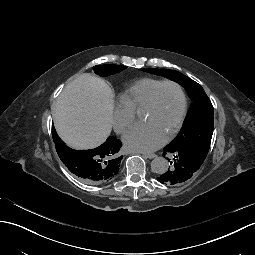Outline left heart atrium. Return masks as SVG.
<instances>
[{
	"label": "left heart atrium",
	"mask_w": 255,
	"mask_h": 255,
	"mask_svg": "<svg viewBox=\"0 0 255 255\" xmlns=\"http://www.w3.org/2000/svg\"><path fill=\"white\" fill-rule=\"evenodd\" d=\"M123 141L125 146L130 150L152 152L165 143V138L150 125L139 123L125 133Z\"/></svg>",
	"instance_id": "obj_1"
}]
</instances>
